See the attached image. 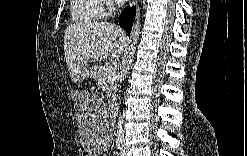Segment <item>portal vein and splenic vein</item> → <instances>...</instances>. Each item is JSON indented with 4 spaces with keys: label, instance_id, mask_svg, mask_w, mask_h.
Instances as JSON below:
<instances>
[{
    "label": "portal vein and splenic vein",
    "instance_id": "18ae733b",
    "mask_svg": "<svg viewBox=\"0 0 247 156\" xmlns=\"http://www.w3.org/2000/svg\"><path fill=\"white\" fill-rule=\"evenodd\" d=\"M116 69L113 66H109L105 69V75L110 76V75H115Z\"/></svg>",
    "mask_w": 247,
    "mask_h": 156
}]
</instances>
